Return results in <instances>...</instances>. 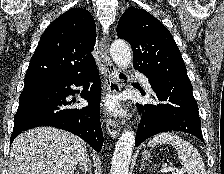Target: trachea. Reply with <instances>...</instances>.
Instances as JSON below:
<instances>
[{"label":"trachea","mask_w":224,"mask_h":174,"mask_svg":"<svg viewBox=\"0 0 224 174\" xmlns=\"http://www.w3.org/2000/svg\"><path fill=\"white\" fill-rule=\"evenodd\" d=\"M119 77L122 78V79H127V77L123 74H120Z\"/></svg>","instance_id":"trachea-1"}]
</instances>
